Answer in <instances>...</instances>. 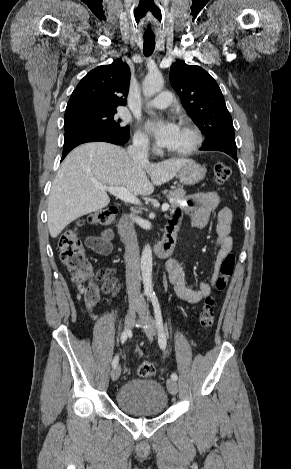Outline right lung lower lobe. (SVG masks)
Segmentation results:
<instances>
[{"mask_svg": "<svg viewBox=\"0 0 291 469\" xmlns=\"http://www.w3.org/2000/svg\"><path fill=\"white\" fill-rule=\"evenodd\" d=\"M129 140V130H103L96 128H74L65 131L62 159L76 146L86 142H109L123 145Z\"/></svg>", "mask_w": 291, "mask_h": 469, "instance_id": "right-lung-lower-lobe-1", "label": "right lung lower lobe"}]
</instances>
